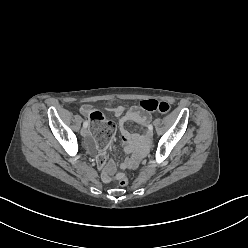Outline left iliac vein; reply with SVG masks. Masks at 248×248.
I'll use <instances>...</instances> for the list:
<instances>
[{"label":"left iliac vein","instance_id":"1","mask_svg":"<svg viewBox=\"0 0 248 248\" xmlns=\"http://www.w3.org/2000/svg\"><path fill=\"white\" fill-rule=\"evenodd\" d=\"M147 137H148V138H152V137H153V131H152V130H149V131L147 132Z\"/></svg>","mask_w":248,"mask_h":248}]
</instances>
